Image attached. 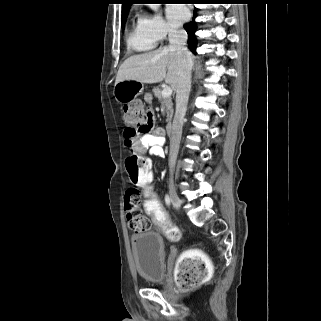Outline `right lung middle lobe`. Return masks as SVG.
I'll return each mask as SVG.
<instances>
[{
  "mask_svg": "<svg viewBox=\"0 0 321 321\" xmlns=\"http://www.w3.org/2000/svg\"><path fill=\"white\" fill-rule=\"evenodd\" d=\"M127 15H128V13L122 14V21H121V23H122V28H124V24H125V22H126Z\"/></svg>",
  "mask_w": 321,
  "mask_h": 321,
  "instance_id": "obj_1",
  "label": "right lung middle lobe"
}]
</instances>
